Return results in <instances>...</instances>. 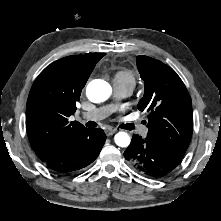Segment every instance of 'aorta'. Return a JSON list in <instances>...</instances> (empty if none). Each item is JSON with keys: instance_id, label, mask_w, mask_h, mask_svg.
I'll list each match as a JSON object with an SVG mask.
<instances>
[{"instance_id": "aorta-1", "label": "aorta", "mask_w": 221, "mask_h": 221, "mask_svg": "<svg viewBox=\"0 0 221 221\" xmlns=\"http://www.w3.org/2000/svg\"><path fill=\"white\" fill-rule=\"evenodd\" d=\"M112 93L109 83L101 79L92 80L86 88L88 99L94 103L106 101ZM115 143L120 147H127L130 144V137L126 132H118L114 137Z\"/></svg>"}]
</instances>
